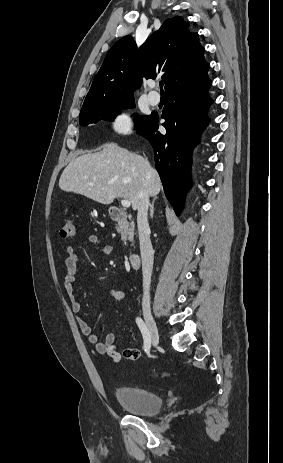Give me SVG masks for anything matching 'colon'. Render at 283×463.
Listing matches in <instances>:
<instances>
[{
  "mask_svg": "<svg viewBox=\"0 0 283 463\" xmlns=\"http://www.w3.org/2000/svg\"><path fill=\"white\" fill-rule=\"evenodd\" d=\"M74 233H75V226H74L73 220L70 218L62 220L60 229H59V235L62 238H70L74 235ZM170 375H171L170 372H162V373L153 374L154 377H169Z\"/></svg>",
  "mask_w": 283,
  "mask_h": 463,
  "instance_id": "1",
  "label": "colon"
}]
</instances>
